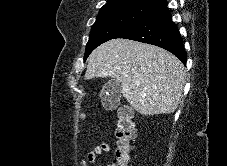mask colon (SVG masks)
Wrapping results in <instances>:
<instances>
[{"instance_id":"1","label":"colon","mask_w":227,"mask_h":166,"mask_svg":"<svg viewBox=\"0 0 227 166\" xmlns=\"http://www.w3.org/2000/svg\"><path fill=\"white\" fill-rule=\"evenodd\" d=\"M117 149L111 166H128L131 161L132 141L135 136L132 109L123 105L119 108L115 121Z\"/></svg>"}]
</instances>
